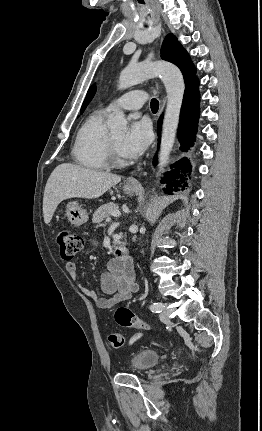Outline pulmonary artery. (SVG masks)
<instances>
[{"mask_svg": "<svg viewBox=\"0 0 262 431\" xmlns=\"http://www.w3.org/2000/svg\"><path fill=\"white\" fill-rule=\"evenodd\" d=\"M147 95L143 90H134L118 97L107 105L106 110L116 109L139 110L146 102Z\"/></svg>", "mask_w": 262, "mask_h": 431, "instance_id": "pulmonary-artery-1", "label": "pulmonary artery"}]
</instances>
